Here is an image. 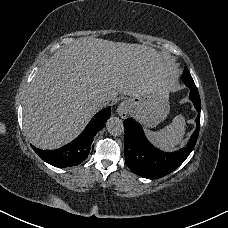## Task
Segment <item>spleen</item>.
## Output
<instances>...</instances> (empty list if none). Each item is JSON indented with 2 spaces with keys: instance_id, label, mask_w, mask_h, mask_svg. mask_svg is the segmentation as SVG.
I'll return each instance as SVG.
<instances>
[{
  "instance_id": "1",
  "label": "spleen",
  "mask_w": 228,
  "mask_h": 228,
  "mask_svg": "<svg viewBox=\"0 0 228 228\" xmlns=\"http://www.w3.org/2000/svg\"><path fill=\"white\" fill-rule=\"evenodd\" d=\"M185 121L182 116H176L172 123L165 126L163 129L152 132L149 135L153 142L166 149H173L179 144L184 132Z\"/></svg>"
}]
</instances>
